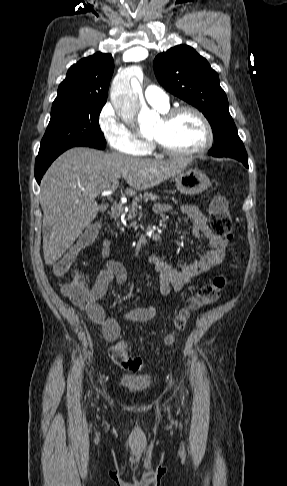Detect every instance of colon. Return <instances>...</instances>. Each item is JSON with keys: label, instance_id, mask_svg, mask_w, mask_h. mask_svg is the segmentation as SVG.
I'll list each match as a JSON object with an SVG mask.
<instances>
[{"label": "colon", "instance_id": "5ec220e1", "mask_svg": "<svg viewBox=\"0 0 287 486\" xmlns=\"http://www.w3.org/2000/svg\"><path fill=\"white\" fill-rule=\"evenodd\" d=\"M210 225L213 232L231 241L233 238V223L228 210L227 200L222 196H215L210 204ZM98 227L96 225L87 228L80 236L73 248L64 254L53 266L55 276L66 275L77 256L83 248L89 246L97 237ZM229 282V278L224 275L215 277L211 282L201 286L196 293L187 299L185 304L179 308L172 321L170 333L167 335L166 343H172L176 335L187 325L193 313L203 307L214 303ZM63 294L75 305L85 307L89 302V292L86 287L85 279L81 275H76L71 281L63 284ZM111 360L120 368L132 372H137L145 367L142 358L134 357L129 354L128 346L124 341H118L109 349Z\"/></svg>", "mask_w": 287, "mask_h": 486}]
</instances>
